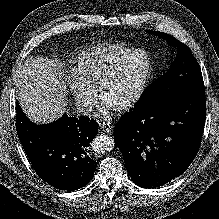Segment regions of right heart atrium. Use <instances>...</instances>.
<instances>
[{
  "label": "right heart atrium",
  "instance_id": "1",
  "mask_svg": "<svg viewBox=\"0 0 219 219\" xmlns=\"http://www.w3.org/2000/svg\"><path fill=\"white\" fill-rule=\"evenodd\" d=\"M67 87L73 95L77 108L82 113H89L96 104V89L87 85L75 74L68 78Z\"/></svg>",
  "mask_w": 219,
  "mask_h": 219
}]
</instances>
